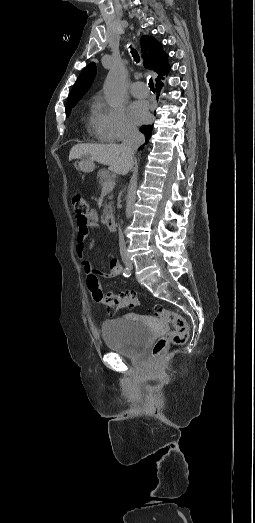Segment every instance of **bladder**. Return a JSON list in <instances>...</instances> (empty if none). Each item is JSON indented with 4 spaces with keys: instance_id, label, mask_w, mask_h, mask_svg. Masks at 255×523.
I'll use <instances>...</instances> for the list:
<instances>
[{
    "instance_id": "1",
    "label": "bladder",
    "mask_w": 255,
    "mask_h": 523,
    "mask_svg": "<svg viewBox=\"0 0 255 523\" xmlns=\"http://www.w3.org/2000/svg\"><path fill=\"white\" fill-rule=\"evenodd\" d=\"M124 320L113 319L102 322L101 331L106 347L114 352L133 356L150 341L151 328L140 320H133L130 325Z\"/></svg>"
}]
</instances>
